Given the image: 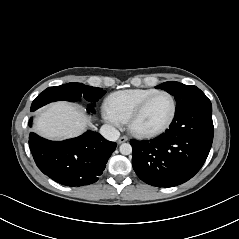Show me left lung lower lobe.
I'll use <instances>...</instances> for the list:
<instances>
[{"instance_id":"obj_1","label":"left lung lower lobe","mask_w":239,"mask_h":239,"mask_svg":"<svg viewBox=\"0 0 239 239\" xmlns=\"http://www.w3.org/2000/svg\"><path fill=\"white\" fill-rule=\"evenodd\" d=\"M210 101L175 113L169 129L150 141L131 140L132 165L138 177L157 187H173L203 166L213 141Z\"/></svg>"}]
</instances>
